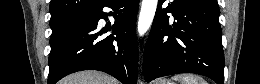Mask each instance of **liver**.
Instances as JSON below:
<instances>
[{
  "instance_id": "6515ba94",
  "label": "liver",
  "mask_w": 260,
  "mask_h": 84,
  "mask_svg": "<svg viewBox=\"0 0 260 84\" xmlns=\"http://www.w3.org/2000/svg\"><path fill=\"white\" fill-rule=\"evenodd\" d=\"M61 84H118V81L98 71H81L67 76Z\"/></svg>"
}]
</instances>
